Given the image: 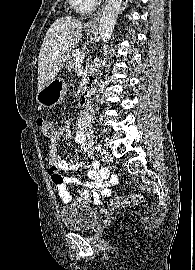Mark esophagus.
I'll list each match as a JSON object with an SVG mask.
<instances>
[{
  "label": "esophagus",
  "instance_id": "obj_1",
  "mask_svg": "<svg viewBox=\"0 0 195 270\" xmlns=\"http://www.w3.org/2000/svg\"><path fill=\"white\" fill-rule=\"evenodd\" d=\"M107 0L105 1V3L101 6V8H99V10L88 20V22L86 23V27L89 29H96L99 19L102 15V12L104 10L105 4H106Z\"/></svg>",
  "mask_w": 195,
  "mask_h": 270
}]
</instances>
